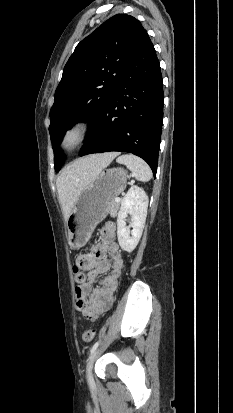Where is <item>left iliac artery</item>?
<instances>
[{"label":"left iliac artery","instance_id":"44dca946","mask_svg":"<svg viewBox=\"0 0 233 413\" xmlns=\"http://www.w3.org/2000/svg\"><path fill=\"white\" fill-rule=\"evenodd\" d=\"M98 345H99V341H97V342L92 346V348H91V350H90V354H92V353L97 349Z\"/></svg>","mask_w":233,"mask_h":413}]
</instances>
